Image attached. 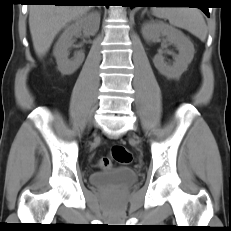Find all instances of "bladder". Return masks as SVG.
I'll list each match as a JSON object with an SVG mask.
<instances>
[{"instance_id":"obj_1","label":"bladder","mask_w":231,"mask_h":231,"mask_svg":"<svg viewBox=\"0 0 231 231\" xmlns=\"http://www.w3.org/2000/svg\"><path fill=\"white\" fill-rule=\"evenodd\" d=\"M88 179L95 188L121 190L133 186L138 176L133 169L115 168L92 173Z\"/></svg>"}]
</instances>
